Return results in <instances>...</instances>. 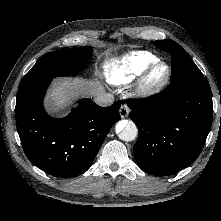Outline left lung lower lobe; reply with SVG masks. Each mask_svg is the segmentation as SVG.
Here are the masks:
<instances>
[{
    "label": "left lung lower lobe",
    "mask_w": 221,
    "mask_h": 221,
    "mask_svg": "<svg viewBox=\"0 0 221 221\" xmlns=\"http://www.w3.org/2000/svg\"><path fill=\"white\" fill-rule=\"evenodd\" d=\"M127 103L130 119L139 131L134 156L144 172L174 174L199 156L213 115L211 89L205 77L182 78L155 96Z\"/></svg>",
    "instance_id": "left-lung-lower-lobe-1"
}]
</instances>
